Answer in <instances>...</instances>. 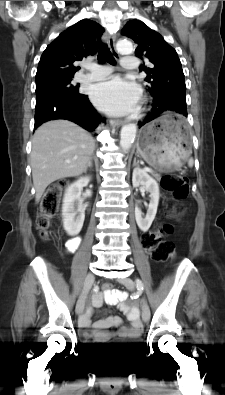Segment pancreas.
Listing matches in <instances>:
<instances>
[{"label": "pancreas", "instance_id": "cf45deb5", "mask_svg": "<svg viewBox=\"0 0 225 395\" xmlns=\"http://www.w3.org/2000/svg\"><path fill=\"white\" fill-rule=\"evenodd\" d=\"M155 178L159 179L160 175L159 174H152Z\"/></svg>", "mask_w": 225, "mask_h": 395}]
</instances>
